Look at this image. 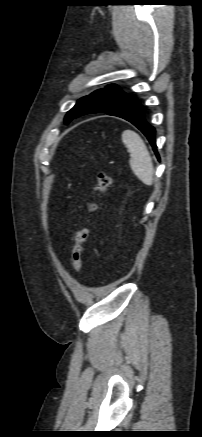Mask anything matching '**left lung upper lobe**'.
<instances>
[{
	"label": "left lung upper lobe",
	"instance_id": "obj_1",
	"mask_svg": "<svg viewBox=\"0 0 202 437\" xmlns=\"http://www.w3.org/2000/svg\"><path fill=\"white\" fill-rule=\"evenodd\" d=\"M133 101L114 84L94 91L77 101L75 106L66 114L65 123L89 113H107L115 108Z\"/></svg>",
	"mask_w": 202,
	"mask_h": 437
}]
</instances>
